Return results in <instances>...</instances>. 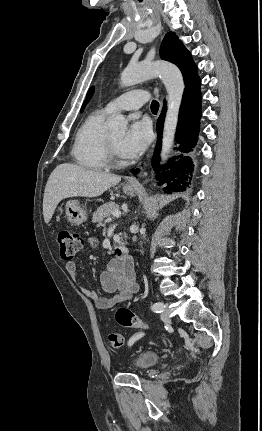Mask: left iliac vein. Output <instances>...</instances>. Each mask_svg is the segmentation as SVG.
Masks as SVG:
<instances>
[{
  "mask_svg": "<svg viewBox=\"0 0 262 431\" xmlns=\"http://www.w3.org/2000/svg\"><path fill=\"white\" fill-rule=\"evenodd\" d=\"M170 310L164 305L163 312L161 313V318L165 323H170Z\"/></svg>",
  "mask_w": 262,
  "mask_h": 431,
  "instance_id": "left-iliac-vein-1",
  "label": "left iliac vein"
}]
</instances>
